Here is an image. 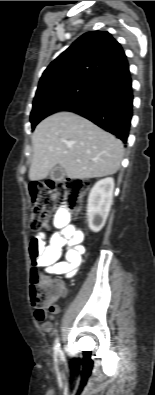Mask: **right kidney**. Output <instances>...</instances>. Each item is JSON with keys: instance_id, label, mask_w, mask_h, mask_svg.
I'll return each instance as SVG.
<instances>
[{"instance_id": "right-kidney-1", "label": "right kidney", "mask_w": 155, "mask_h": 395, "mask_svg": "<svg viewBox=\"0 0 155 395\" xmlns=\"http://www.w3.org/2000/svg\"><path fill=\"white\" fill-rule=\"evenodd\" d=\"M113 190V178H105L98 181L90 191L87 218L89 228L93 232H99L105 225L113 202Z\"/></svg>"}]
</instances>
